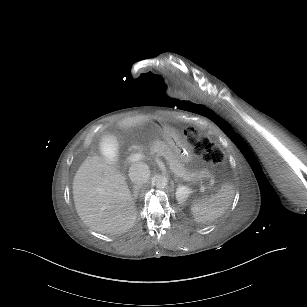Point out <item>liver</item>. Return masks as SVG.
<instances>
[{"mask_svg":"<svg viewBox=\"0 0 307 307\" xmlns=\"http://www.w3.org/2000/svg\"><path fill=\"white\" fill-rule=\"evenodd\" d=\"M153 116L127 117L118 123L122 130L140 127ZM76 211L91 230L119 234L133 227L137 208L125 177L109 161L99 156L87 157L73 181Z\"/></svg>","mask_w":307,"mask_h":307,"instance_id":"6515ba94","label":"liver"}]
</instances>
